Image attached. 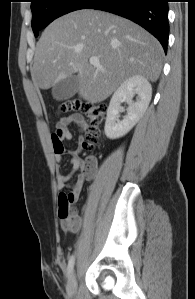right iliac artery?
Segmentation results:
<instances>
[{
    "instance_id": "82829eb1",
    "label": "right iliac artery",
    "mask_w": 195,
    "mask_h": 299,
    "mask_svg": "<svg viewBox=\"0 0 195 299\" xmlns=\"http://www.w3.org/2000/svg\"><path fill=\"white\" fill-rule=\"evenodd\" d=\"M74 262H75V257L74 255L71 256L68 266H67V276L70 277L71 273L73 271V267H74Z\"/></svg>"
}]
</instances>
